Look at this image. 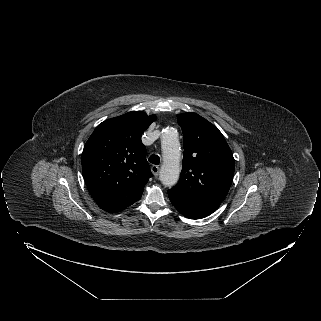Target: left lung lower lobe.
I'll return each mask as SVG.
<instances>
[{
  "mask_svg": "<svg viewBox=\"0 0 321 321\" xmlns=\"http://www.w3.org/2000/svg\"><path fill=\"white\" fill-rule=\"evenodd\" d=\"M168 196L173 206L185 217L201 219L212 214L220 205L211 201L187 197L174 190H168Z\"/></svg>",
  "mask_w": 321,
  "mask_h": 321,
  "instance_id": "1",
  "label": "left lung lower lobe"
}]
</instances>
